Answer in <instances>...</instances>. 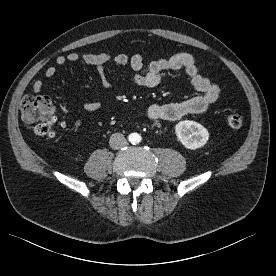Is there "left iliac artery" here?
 Wrapping results in <instances>:
<instances>
[{
	"mask_svg": "<svg viewBox=\"0 0 276 276\" xmlns=\"http://www.w3.org/2000/svg\"><path fill=\"white\" fill-rule=\"evenodd\" d=\"M137 140H138V142H139V141L141 140V137H140V136H138Z\"/></svg>",
	"mask_w": 276,
	"mask_h": 276,
	"instance_id": "1",
	"label": "left iliac artery"
}]
</instances>
